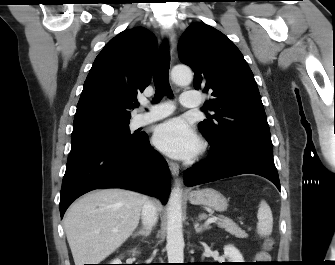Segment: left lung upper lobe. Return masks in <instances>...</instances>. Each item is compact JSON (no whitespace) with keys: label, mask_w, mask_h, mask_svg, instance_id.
Segmentation results:
<instances>
[{"label":"left lung upper lobe","mask_w":335,"mask_h":265,"mask_svg":"<svg viewBox=\"0 0 335 265\" xmlns=\"http://www.w3.org/2000/svg\"><path fill=\"white\" fill-rule=\"evenodd\" d=\"M179 57L194 71L195 89L212 96L205 109L215 114L198 125L207 140L243 138L272 145L254 75L231 40L209 25L193 23L180 38Z\"/></svg>","instance_id":"5c2ea615"}]
</instances>
